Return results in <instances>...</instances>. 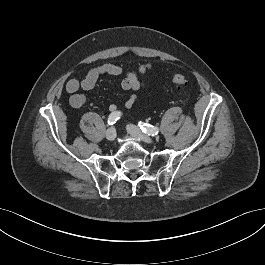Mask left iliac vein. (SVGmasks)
Returning <instances> with one entry per match:
<instances>
[{"label": "left iliac vein", "mask_w": 265, "mask_h": 265, "mask_svg": "<svg viewBox=\"0 0 265 265\" xmlns=\"http://www.w3.org/2000/svg\"><path fill=\"white\" fill-rule=\"evenodd\" d=\"M127 130L128 132L135 138H138L140 140H142L143 142L147 143V144H153L154 140L148 136L147 134L143 133L137 126L135 125H128L127 126Z\"/></svg>", "instance_id": "4c4485c4"}]
</instances>
